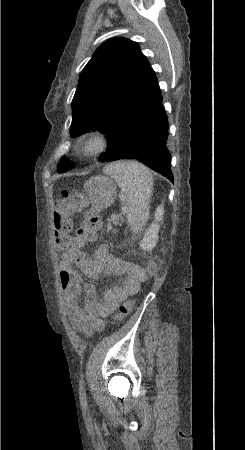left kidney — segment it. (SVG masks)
Masks as SVG:
<instances>
[{"instance_id": "5707ae66", "label": "left kidney", "mask_w": 245, "mask_h": 450, "mask_svg": "<svg viewBox=\"0 0 245 450\" xmlns=\"http://www.w3.org/2000/svg\"><path fill=\"white\" fill-rule=\"evenodd\" d=\"M164 214L163 204L158 206L155 211V220L152 222L148 230L145 231L143 239L140 242V247L144 251H151L156 246L158 242V232H159V222L162 221Z\"/></svg>"}]
</instances>
